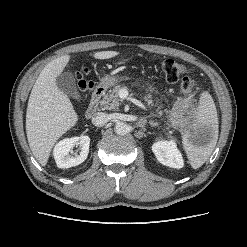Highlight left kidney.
<instances>
[{
    "instance_id": "left-kidney-1",
    "label": "left kidney",
    "mask_w": 247,
    "mask_h": 247,
    "mask_svg": "<svg viewBox=\"0 0 247 247\" xmlns=\"http://www.w3.org/2000/svg\"><path fill=\"white\" fill-rule=\"evenodd\" d=\"M152 151L157 160L165 166L177 169L184 166L182 155L174 140L158 141L153 144Z\"/></svg>"
}]
</instances>
